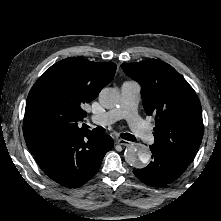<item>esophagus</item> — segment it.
Masks as SVG:
<instances>
[{
    "mask_svg": "<svg viewBox=\"0 0 221 221\" xmlns=\"http://www.w3.org/2000/svg\"><path fill=\"white\" fill-rule=\"evenodd\" d=\"M116 143L119 144V145H123V146H128L130 144L129 141L124 140V139H117Z\"/></svg>",
    "mask_w": 221,
    "mask_h": 221,
    "instance_id": "34e87169",
    "label": "esophagus"
}]
</instances>
